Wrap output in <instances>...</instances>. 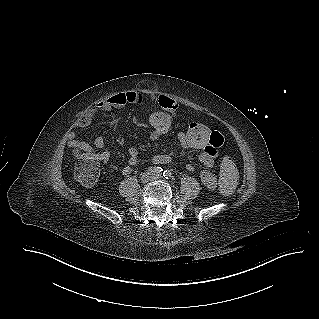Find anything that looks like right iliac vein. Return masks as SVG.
<instances>
[{"mask_svg":"<svg viewBox=\"0 0 319 319\" xmlns=\"http://www.w3.org/2000/svg\"><path fill=\"white\" fill-rule=\"evenodd\" d=\"M139 178L142 183H147L151 180V174L149 172H144Z\"/></svg>","mask_w":319,"mask_h":319,"instance_id":"63e3f726","label":"right iliac vein"}]
</instances>
